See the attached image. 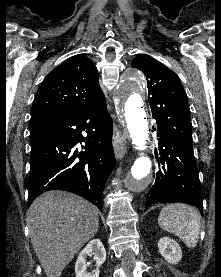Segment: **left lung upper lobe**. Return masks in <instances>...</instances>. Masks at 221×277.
Here are the masks:
<instances>
[{"label":"left lung upper lobe","instance_id":"left-lung-upper-lobe-1","mask_svg":"<svg viewBox=\"0 0 221 277\" xmlns=\"http://www.w3.org/2000/svg\"><path fill=\"white\" fill-rule=\"evenodd\" d=\"M132 67L146 76L149 104L157 125L176 140L192 147L190 110L180 78L148 55H137Z\"/></svg>","mask_w":221,"mask_h":277}]
</instances>
